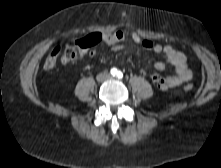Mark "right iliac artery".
<instances>
[{
    "instance_id": "obj_1",
    "label": "right iliac artery",
    "mask_w": 221,
    "mask_h": 168,
    "mask_svg": "<svg viewBox=\"0 0 221 168\" xmlns=\"http://www.w3.org/2000/svg\"><path fill=\"white\" fill-rule=\"evenodd\" d=\"M110 73H111L112 76H115V75H117L118 71H117L116 68H112Z\"/></svg>"
}]
</instances>
